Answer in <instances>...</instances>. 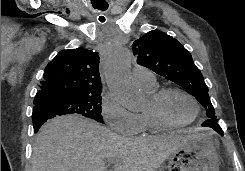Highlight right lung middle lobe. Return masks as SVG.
<instances>
[{
	"mask_svg": "<svg viewBox=\"0 0 245 171\" xmlns=\"http://www.w3.org/2000/svg\"><path fill=\"white\" fill-rule=\"evenodd\" d=\"M100 95L50 96L43 99L39 105L45 106L55 115L76 113L104 123Z\"/></svg>",
	"mask_w": 245,
	"mask_h": 171,
	"instance_id": "dd1d6c3e",
	"label": "right lung middle lobe"
}]
</instances>
